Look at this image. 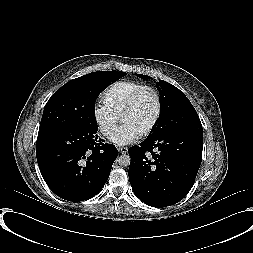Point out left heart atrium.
<instances>
[{"mask_svg":"<svg viewBox=\"0 0 253 253\" xmlns=\"http://www.w3.org/2000/svg\"><path fill=\"white\" fill-rule=\"evenodd\" d=\"M140 136L141 131L137 130L129 123L122 122L110 136V139L113 143L121 146L135 142Z\"/></svg>","mask_w":253,"mask_h":253,"instance_id":"obj_1","label":"left heart atrium"}]
</instances>
